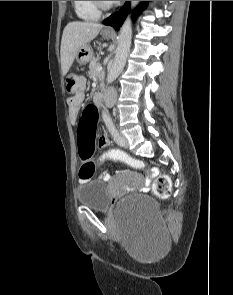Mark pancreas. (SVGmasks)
Segmentation results:
<instances>
[{
	"label": "pancreas",
	"mask_w": 233,
	"mask_h": 295,
	"mask_svg": "<svg viewBox=\"0 0 233 295\" xmlns=\"http://www.w3.org/2000/svg\"><path fill=\"white\" fill-rule=\"evenodd\" d=\"M100 66L99 58H92L89 64V76L90 78H96L101 75L100 72L97 71V68Z\"/></svg>",
	"instance_id": "obj_1"
}]
</instances>
